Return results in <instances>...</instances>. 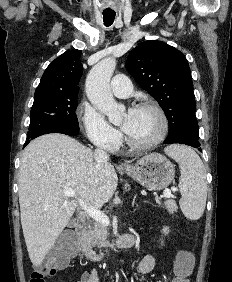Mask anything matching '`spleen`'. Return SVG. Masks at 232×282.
I'll return each instance as SVG.
<instances>
[{
    "label": "spleen",
    "mask_w": 232,
    "mask_h": 282,
    "mask_svg": "<svg viewBox=\"0 0 232 282\" xmlns=\"http://www.w3.org/2000/svg\"><path fill=\"white\" fill-rule=\"evenodd\" d=\"M165 153L179 164L180 208L186 218L197 220L204 212L207 198L206 172L202 160L193 149L182 145L169 146Z\"/></svg>",
    "instance_id": "1"
}]
</instances>
